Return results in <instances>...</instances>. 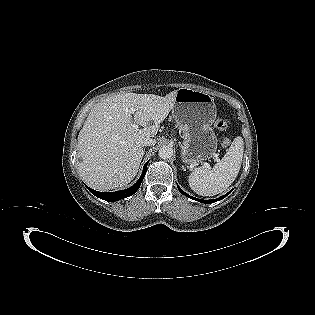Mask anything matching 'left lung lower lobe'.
Listing matches in <instances>:
<instances>
[{"instance_id":"0a47b994","label":"left lung lower lobe","mask_w":315,"mask_h":315,"mask_svg":"<svg viewBox=\"0 0 315 315\" xmlns=\"http://www.w3.org/2000/svg\"><path fill=\"white\" fill-rule=\"evenodd\" d=\"M178 189H179V191H180L183 195H185V196H187V197H189V198H191V199H194V200H196V201L203 202V203H205V204H209V203H213V202L219 201V200L225 198V196L228 195V194L231 192V191H229L226 195H223V196H221V197H219V198H217V199L201 200V199H197V198H194V197L188 195V194L185 193L183 190H181L179 187H178Z\"/></svg>"}]
</instances>
